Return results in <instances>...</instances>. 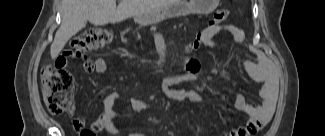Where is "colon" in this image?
I'll use <instances>...</instances> for the list:
<instances>
[{"instance_id":"colon-1","label":"colon","mask_w":325,"mask_h":136,"mask_svg":"<svg viewBox=\"0 0 325 136\" xmlns=\"http://www.w3.org/2000/svg\"><path fill=\"white\" fill-rule=\"evenodd\" d=\"M229 12L227 9H219L209 23L210 27H216L224 23ZM201 32L188 49H196L200 44ZM113 32L105 28H95L85 31L71 41V54L74 57L87 58L90 53L106 48L113 41ZM42 93L45 105L51 114L59 115L70 108L71 88L67 87L63 78L54 66L47 65L42 69ZM81 136H96L91 129H83Z\"/></svg>"}]
</instances>
